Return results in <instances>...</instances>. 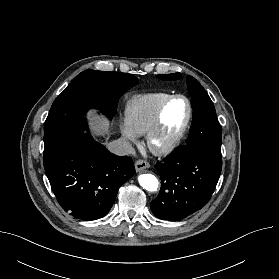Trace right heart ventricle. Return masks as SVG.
Here are the masks:
<instances>
[{"label": "right heart ventricle", "mask_w": 279, "mask_h": 279, "mask_svg": "<svg viewBox=\"0 0 279 279\" xmlns=\"http://www.w3.org/2000/svg\"><path fill=\"white\" fill-rule=\"evenodd\" d=\"M170 96L171 94L166 92L134 96L126 108V125L137 135L147 133L155 120L158 109Z\"/></svg>", "instance_id": "1"}]
</instances>
